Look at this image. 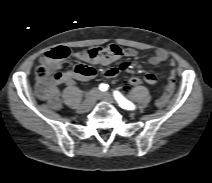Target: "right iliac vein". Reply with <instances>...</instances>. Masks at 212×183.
Here are the masks:
<instances>
[{"label": "right iliac vein", "instance_id": "1", "mask_svg": "<svg viewBox=\"0 0 212 183\" xmlns=\"http://www.w3.org/2000/svg\"><path fill=\"white\" fill-rule=\"evenodd\" d=\"M99 97V91L97 89L91 90L85 100L79 106L80 112H88L95 104L96 100Z\"/></svg>", "mask_w": 212, "mask_h": 183}]
</instances>
